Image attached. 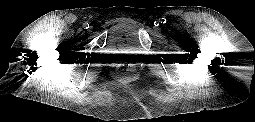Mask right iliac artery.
I'll list each match as a JSON object with an SVG mask.
<instances>
[{
  "label": "right iliac artery",
  "mask_w": 255,
  "mask_h": 122,
  "mask_svg": "<svg viewBox=\"0 0 255 122\" xmlns=\"http://www.w3.org/2000/svg\"><path fill=\"white\" fill-rule=\"evenodd\" d=\"M83 27H84L85 29H88V28H89V24L86 22V23L83 24Z\"/></svg>",
  "instance_id": "82829eb1"
}]
</instances>
